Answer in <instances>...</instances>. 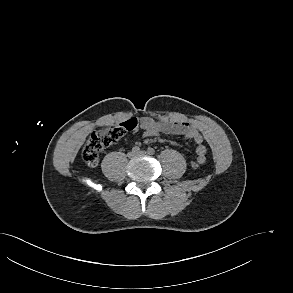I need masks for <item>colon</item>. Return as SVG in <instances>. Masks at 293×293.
I'll return each mask as SVG.
<instances>
[{"instance_id":"1","label":"colon","mask_w":293,"mask_h":293,"mask_svg":"<svg viewBox=\"0 0 293 293\" xmlns=\"http://www.w3.org/2000/svg\"><path fill=\"white\" fill-rule=\"evenodd\" d=\"M136 126L134 119L128 120L120 125L103 127L89 137L82 150V158L89 166H95L98 162L99 154L107 147L117 143L125 134L127 129H132ZM205 162V156L201 155L193 163L195 168H198Z\"/></svg>"}]
</instances>
